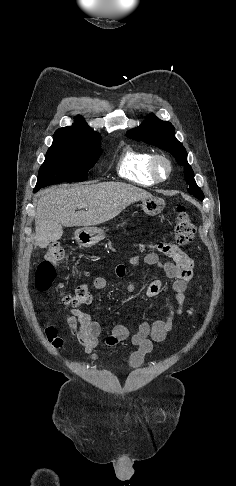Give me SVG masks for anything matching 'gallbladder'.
Wrapping results in <instances>:
<instances>
[{
	"label": "gallbladder",
	"instance_id": "obj_1",
	"mask_svg": "<svg viewBox=\"0 0 236 486\" xmlns=\"http://www.w3.org/2000/svg\"><path fill=\"white\" fill-rule=\"evenodd\" d=\"M44 234L47 239L40 246L42 248L46 247L49 243L57 241L61 238L63 234L62 225L55 222L49 223L47 228L44 230Z\"/></svg>",
	"mask_w": 236,
	"mask_h": 486
}]
</instances>
